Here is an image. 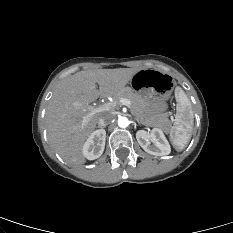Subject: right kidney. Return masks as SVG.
Instances as JSON below:
<instances>
[{
	"label": "right kidney",
	"instance_id": "obj_1",
	"mask_svg": "<svg viewBox=\"0 0 233 233\" xmlns=\"http://www.w3.org/2000/svg\"><path fill=\"white\" fill-rule=\"evenodd\" d=\"M106 141L105 130L94 131L83 145L82 153L88 160L99 158L104 151Z\"/></svg>",
	"mask_w": 233,
	"mask_h": 233
}]
</instances>
